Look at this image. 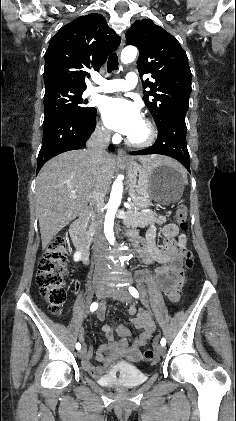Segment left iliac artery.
Instances as JSON below:
<instances>
[{
    "label": "left iliac artery",
    "instance_id": "left-iliac-artery-1",
    "mask_svg": "<svg viewBox=\"0 0 236 421\" xmlns=\"http://www.w3.org/2000/svg\"><path fill=\"white\" fill-rule=\"evenodd\" d=\"M129 292H130V294H131L133 297H135V298H138V297H139V293H138V291H137L134 287L130 286V287H129ZM160 343H161V345H162V346H165V345H166V340H165V338H162Z\"/></svg>",
    "mask_w": 236,
    "mask_h": 421
}]
</instances>
